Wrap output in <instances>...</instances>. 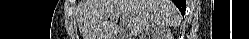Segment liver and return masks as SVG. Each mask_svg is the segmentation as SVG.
Instances as JSON below:
<instances>
[{
  "instance_id": "6515ba94",
  "label": "liver",
  "mask_w": 249,
  "mask_h": 39,
  "mask_svg": "<svg viewBox=\"0 0 249 39\" xmlns=\"http://www.w3.org/2000/svg\"><path fill=\"white\" fill-rule=\"evenodd\" d=\"M119 17L133 36L157 26L177 27L181 20L170 0H84L79 19L83 39H115Z\"/></svg>"
}]
</instances>
